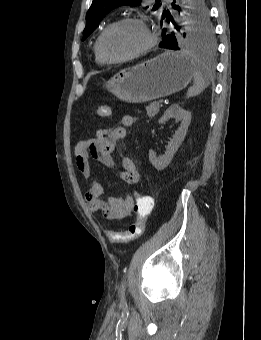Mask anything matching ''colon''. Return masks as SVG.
Instances as JSON below:
<instances>
[{
  "label": "colon",
  "instance_id": "1",
  "mask_svg": "<svg viewBox=\"0 0 261 340\" xmlns=\"http://www.w3.org/2000/svg\"><path fill=\"white\" fill-rule=\"evenodd\" d=\"M111 114V108L103 105L98 107L97 115L107 117ZM153 209V200L142 192L135 195L132 211L136 215L135 221L124 231H108L107 237L113 243H129L140 238L145 231L147 217Z\"/></svg>",
  "mask_w": 261,
  "mask_h": 340
}]
</instances>
